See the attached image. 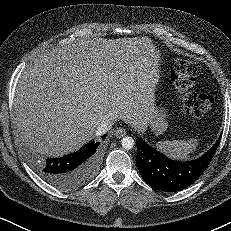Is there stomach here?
<instances>
[{
	"mask_svg": "<svg viewBox=\"0 0 231 231\" xmlns=\"http://www.w3.org/2000/svg\"><path fill=\"white\" fill-rule=\"evenodd\" d=\"M167 111L164 108H155L154 116L150 119L148 126L153 135H160L166 131L168 127Z\"/></svg>",
	"mask_w": 231,
	"mask_h": 231,
	"instance_id": "obj_1",
	"label": "stomach"
}]
</instances>
